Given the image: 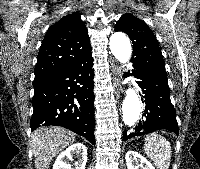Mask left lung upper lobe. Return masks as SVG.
<instances>
[{
    "instance_id": "1",
    "label": "left lung upper lobe",
    "mask_w": 200,
    "mask_h": 169,
    "mask_svg": "<svg viewBox=\"0 0 200 169\" xmlns=\"http://www.w3.org/2000/svg\"><path fill=\"white\" fill-rule=\"evenodd\" d=\"M115 31L125 32L133 43V66L149 68L165 78L166 71L158 41L144 21L124 14L115 25Z\"/></svg>"
}]
</instances>
